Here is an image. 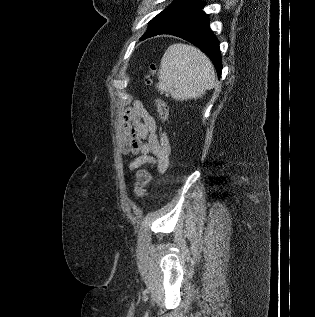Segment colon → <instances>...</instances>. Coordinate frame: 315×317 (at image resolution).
Wrapping results in <instances>:
<instances>
[{"label":"colon","instance_id":"obj_1","mask_svg":"<svg viewBox=\"0 0 315 317\" xmlns=\"http://www.w3.org/2000/svg\"><path fill=\"white\" fill-rule=\"evenodd\" d=\"M156 74H157V67L156 65L152 64L149 68V76H148L149 84L153 83V80ZM156 104H157V111H158L159 118L163 123H165L168 119V106L166 102L159 96L156 98ZM151 180H152V176L148 169L146 168L140 169L137 172L136 182L134 185V193L137 198L141 199L145 196L146 188L151 182Z\"/></svg>","mask_w":315,"mask_h":317}]
</instances>
